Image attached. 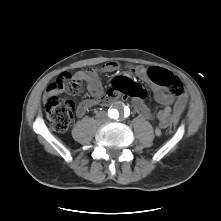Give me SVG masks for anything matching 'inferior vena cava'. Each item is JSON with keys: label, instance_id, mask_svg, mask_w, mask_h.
<instances>
[{"label": "inferior vena cava", "instance_id": "1", "mask_svg": "<svg viewBox=\"0 0 221 221\" xmlns=\"http://www.w3.org/2000/svg\"><path fill=\"white\" fill-rule=\"evenodd\" d=\"M103 117H104V119H108L107 116H106V114H103Z\"/></svg>", "mask_w": 221, "mask_h": 221}]
</instances>
